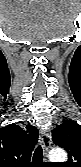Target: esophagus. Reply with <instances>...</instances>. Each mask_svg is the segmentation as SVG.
<instances>
[{"mask_svg":"<svg viewBox=\"0 0 81 167\" xmlns=\"http://www.w3.org/2000/svg\"><path fill=\"white\" fill-rule=\"evenodd\" d=\"M41 143L43 147L44 159L47 160L48 152L51 147V130L44 129L41 131Z\"/></svg>","mask_w":81,"mask_h":167,"instance_id":"34e87169","label":"esophagus"}]
</instances>
